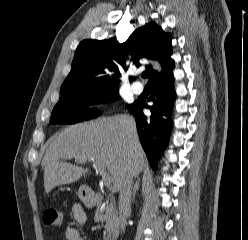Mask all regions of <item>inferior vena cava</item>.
I'll return each instance as SVG.
<instances>
[{
	"label": "inferior vena cava",
	"mask_w": 248,
	"mask_h": 240,
	"mask_svg": "<svg viewBox=\"0 0 248 240\" xmlns=\"http://www.w3.org/2000/svg\"><path fill=\"white\" fill-rule=\"evenodd\" d=\"M133 177L128 173L119 188V227L124 232L127 215L131 209Z\"/></svg>",
	"instance_id": "inferior-vena-cava-1"
}]
</instances>
